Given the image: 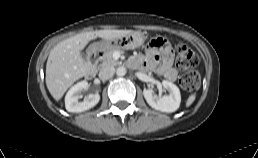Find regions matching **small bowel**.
<instances>
[{
    "label": "small bowel",
    "instance_id": "c3829d8e",
    "mask_svg": "<svg viewBox=\"0 0 258 158\" xmlns=\"http://www.w3.org/2000/svg\"><path fill=\"white\" fill-rule=\"evenodd\" d=\"M173 56L172 47L166 43L160 49L148 48L144 56L131 58L129 64L143 71L154 70L165 79L174 81L177 77V70L173 66Z\"/></svg>",
    "mask_w": 258,
    "mask_h": 158
}]
</instances>
